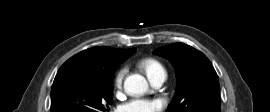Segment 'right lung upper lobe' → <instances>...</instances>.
I'll use <instances>...</instances> for the list:
<instances>
[{"mask_svg":"<svg viewBox=\"0 0 270 112\" xmlns=\"http://www.w3.org/2000/svg\"><path fill=\"white\" fill-rule=\"evenodd\" d=\"M136 51L132 49H114L107 46H99L86 49L70 59L62 66H77L115 72L119 65Z\"/></svg>","mask_w":270,"mask_h":112,"instance_id":"cb5924a9","label":"right lung upper lobe"}]
</instances>
